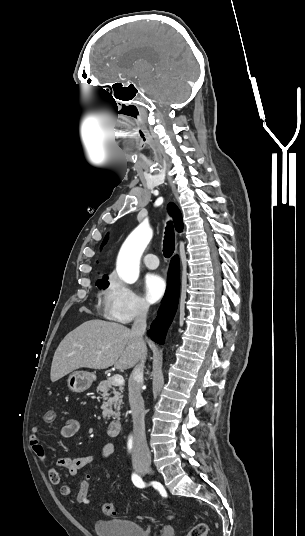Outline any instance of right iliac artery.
<instances>
[{"label": "right iliac artery", "mask_w": 305, "mask_h": 536, "mask_svg": "<svg viewBox=\"0 0 305 536\" xmlns=\"http://www.w3.org/2000/svg\"><path fill=\"white\" fill-rule=\"evenodd\" d=\"M132 482L134 483L135 486H137L138 488H143L145 487V483L142 481L141 477L138 476L137 474H133L132 475Z\"/></svg>", "instance_id": "right-iliac-artery-1"}]
</instances>
